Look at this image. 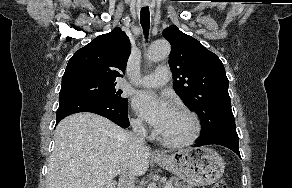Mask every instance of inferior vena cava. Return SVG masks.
<instances>
[{"instance_id": "obj_1", "label": "inferior vena cava", "mask_w": 292, "mask_h": 188, "mask_svg": "<svg viewBox=\"0 0 292 188\" xmlns=\"http://www.w3.org/2000/svg\"><path fill=\"white\" fill-rule=\"evenodd\" d=\"M132 131L127 133V142L131 148H141L145 145L147 131L141 120L131 122ZM117 188H135V176L129 171L120 174Z\"/></svg>"}]
</instances>
